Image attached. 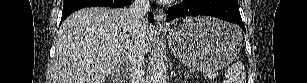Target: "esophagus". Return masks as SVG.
<instances>
[{"label":"esophagus","mask_w":307,"mask_h":83,"mask_svg":"<svg viewBox=\"0 0 307 83\" xmlns=\"http://www.w3.org/2000/svg\"><path fill=\"white\" fill-rule=\"evenodd\" d=\"M155 23L156 26L160 29H167V25L165 23V14L162 9H157L155 14Z\"/></svg>","instance_id":"esophagus-1"}]
</instances>
